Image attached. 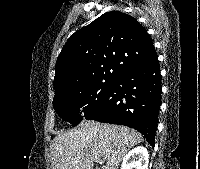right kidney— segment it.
Instances as JSON below:
<instances>
[{
  "mask_svg": "<svg viewBox=\"0 0 200 169\" xmlns=\"http://www.w3.org/2000/svg\"><path fill=\"white\" fill-rule=\"evenodd\" d=\"M149 154L143 146L133 148L123 158L121 169H148Z\"/></svg>",
  "mask_w": 200,
  "mask_h": 169,
  "instance_id": "ca27d5eb",
  "label": "right kidney"
}]
</instances>
